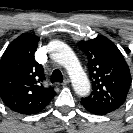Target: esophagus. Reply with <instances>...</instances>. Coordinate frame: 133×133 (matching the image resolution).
Masks as SVG:
<instances>
[{
    "instance_id": "34e87169",
    "label": "esophagus",
    "mask_w": 133,
    "mask_h": 133,
    "mask_svg": "<svg viewBox=\"0 0 133 133\" xmlns=\"http://www.w3.org/2000/svg\"><path fill=\"white\" fill-rule=\"evenodd\" d=\"M70 80L68 78L64 79L62 85L66 86L67 84H69Z\"/></svg>"
}]
</instances>
